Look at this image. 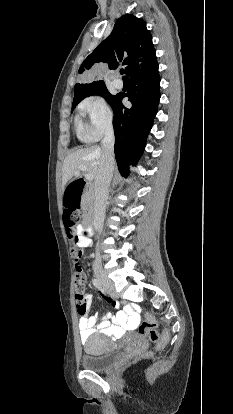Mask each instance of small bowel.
Here are the masks:
<instances>
[{
    "mask_svg": "<svg viewBox=\"0 0 233 414\" xmlns=\"http://www.w3.org/2000/svg\"><path fill=\"white\" fill-rule=\"evenodd\" d=\"M76 241L78 246L81 248H88L92 245L91 239L82 235L81 231L76 232ZM74 260L76 261L77 259L75 258ZM74 274H81V266L79 265V262H74ZM85 297L86 300H84V305L81 304L77 306V311L80 312L79 330L82 343H86L90 336L94 333L99 320L98 316H86L87 312H89L91 309L90 305L92 304L93 298L90 294L85 295ZM105 298L112 308H120L118 301L107 296H105ZM121 307L124 309L120 310L117 315L113 317L112 323L107 320V318L111 317V313L108 312L103 315V321L99 325L100 331L102 333L119 336L122 335L125 331L134 330L137 328L140 318L137 313L138 307L136 306V302H133L131 300L128 302L122 301Z\"/></svg>",
    "mask_w": 233,
    "mask_h": 414,
    "instance_id": "small-bowel-1",
    "label": "small bowel"
}]
</instances>
